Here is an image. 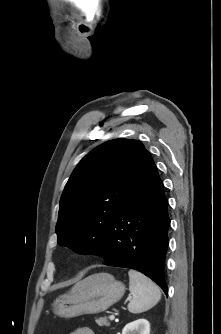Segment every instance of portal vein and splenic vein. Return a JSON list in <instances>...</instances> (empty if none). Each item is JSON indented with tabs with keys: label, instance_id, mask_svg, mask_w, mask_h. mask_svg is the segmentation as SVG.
Here are the masks:
<instances>
[{
	"label": "portal vein and splenic vein",
	"instance_id": "18ae733b",
	"mask_svg": "<svg viewBox=\"0 0 221 334\" xmlns=\"http://www.w3.org/2000/svg\"><path fill=\"white\" fill-rule=\"evenodd\" d=\"M109 319H110L111 321H113V320L115 319V316H114V315H110V316H109Z\"/></svg>",
	"mask_w": 221,
	"mask_h": 334
}]
</instances>
